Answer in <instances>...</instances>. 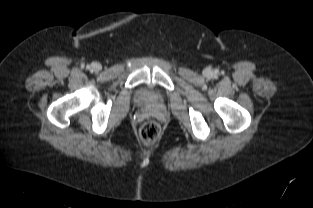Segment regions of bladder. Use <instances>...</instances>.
<instances>
[{
    "label": "bladder",
    "instance_id": "obj_1",
    "mask_svg": "<svg viewBox=\"0 0 313 208\" xmlns=\"http://www.w3.org/2000/svg\"><path fill=\"white\" fill-rule=\"evenodd\" d=\"M136 96L138 101L140 102H148L157 99L155 92L148 87H143L139 89Z\"/></svg>",
    "mask_w": 313,
    "mask_h": 208
}]
</instances>
